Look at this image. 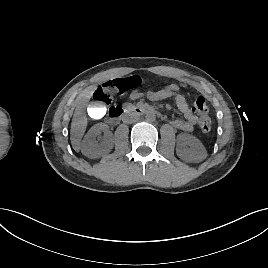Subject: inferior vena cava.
Wrapping results in <instances>:
<instances>
[{
	"instance_id": "1",
	"label": "inferior vena cava",
	"mask_w": 268,
	"mask_h": 268,
	"mask_svg": "<svg viewBox=\"0 0 268 268\" xmlns=\"http://www.w3.org/2000/svg\"><path fill=\"white\" fill-rule=\"evenodd\" d=\"M139 120V115L135 112H128L123 116V122L127 124L135 123Z\"/></svg>"
}]
</instances>
